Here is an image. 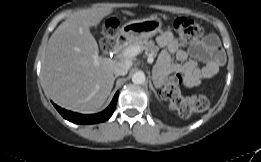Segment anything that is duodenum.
I'll return each instance as SVG.
<instances>
[{
	"mask_svg": "<svg viewBox=\"0 0 261 162\" xmlns=\"http://www.w3.org/2000/svg\"><path fill=\"white\" fill-rule=\"evenodd\" d=\"M127 40H128V38H127L126 35H123V34H122V35L118 36V38H117V40H116V46H117V47H122V46H124V45L126 44Z\"/></svg>",
	"mask_w": 261,
	"mask_h": 162,
	"instance_id": "1",
	"label": "duodenum"
}]
</instances>
